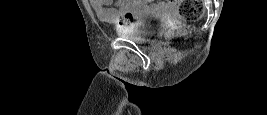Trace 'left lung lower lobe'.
<instances>
[{
	"mask_svg": "<svg viewBox=\"0 0 267 115\" xmlns=\"http://www.w3.org/2000/svg\"><path fill=\"white\" fill-rule=\"evenodd\" d=\"M148 91L150 92H154V91H158L159 89H150V88H147Z\"/></svg>",
	"mask_w": 267,
	"mask_h": 115,
	"instance_id": "1",
	"label": "left lung lower lobe"
}]
</instances>
